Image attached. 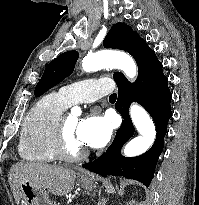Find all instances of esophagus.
Instances as JSON below:
<instances>
[{"label":"esophagus","instance_id":"esophagus-1","mask_svg":"<svg viewBox=\"0 0 199 205\" xmlns=\"http://www.w3.org/2000/svg\"><path fill=\"white\" fill-rule=\"evenodd\" d=\"M81 174H82V175H85V176H89L88 174H86V172H82Z\"/></svg>","mask_w":199,"mask_h":205}]
</instances>
